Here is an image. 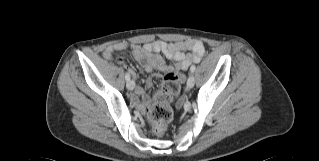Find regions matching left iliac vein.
I'll return each instance as SVG.
<instances>
[{
  "mask_svg": "<svg viewBox=\"0 0 319 161\" xmlns=\"http://www.w3.org/2000/svg\"><path fill=\"white\" fill-rule=\"evenodd\" d=\"M194 83H195V78L194 76L191 74L189 77H188V80H187V87L189 89H191L193 86H194Z\"/></svg>",
  "mask_w": 319,
  "mask_h": 161,
  "instance_id": "4c4485c4",
  "label": "left iliac vein"
}]
</instances>
